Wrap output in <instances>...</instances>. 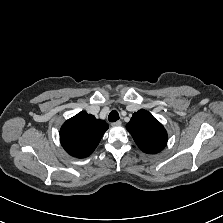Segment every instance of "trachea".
I'll list each match as a JSON object with an SVG mask.
<instances>
[{"instance_id":"trachea-1","label":"trachea","mask_w":223,"mask_h":223,"mask_svg":"<svg viewBox=\"0 0 223 223\" xmlns=\"http://www.w3.org/2000/svg\"><path fill=\"white\" fill-rule=\"evenodd\" d=\"M119 119V114L116 110L111 111V113L108 116V120L110 122H116Z\"/></svg>"}]
</instances>
